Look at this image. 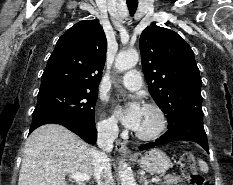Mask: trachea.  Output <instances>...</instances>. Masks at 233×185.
<instances>
[{"instance_id":"trachea-1","label":"trachea","mask_w":233,"mask_h":185,"mask_svg":"<svg viewBox=\"0 0 233 185\" xmlns=\"http://www.w3.org/2000/svg\"><path fill=\"white\" fill-rule=\"evenodd\" d=\"M127 6L130 15H133L137 10L138 3H127Z\"/></svg>"}]
</instances>
